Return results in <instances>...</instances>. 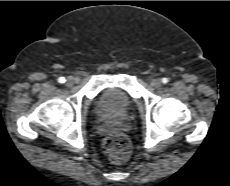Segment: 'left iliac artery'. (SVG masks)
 Wrapping results in <instances>:
<instances>
[{"label":"left iliac artery","instance_id":"obj_1","mask_svg":"<svg viewBox=\"0 0 230 186\" xmlns=\"http://www.w3.org/2000/svg\"><path fill=\"white\" fill-rule=\"evenodd\" d=\"M168 81H169L168 78H163V79H162V82H163L164 84L168 83Z\"/></svg>","mask_w":230,"mask_h":186}]
</instances>
